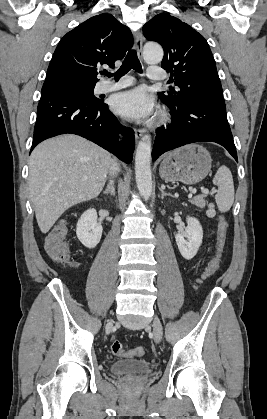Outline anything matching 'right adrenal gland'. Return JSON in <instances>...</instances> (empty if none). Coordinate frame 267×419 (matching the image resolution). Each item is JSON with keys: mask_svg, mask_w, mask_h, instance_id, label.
I'll return each instance as SVG.
<instances>
[{"mask_svg": "<svg viewBox=\"0 0 267 419\" xmlns=\"http://www.w3.org/2000/svg\"><path fill=\"white\" fill-rule=\"evenodd\" d=\"M104 194H110L111 196H115V185L114 180H110L109 184L107 185V188L105 191H103Z\"/></svg>", "mask_w": 267, "mask_h": 419, "instance_id": "right-adrenal-gland-1", "label": "right adrenal gland"}]
</instances>
